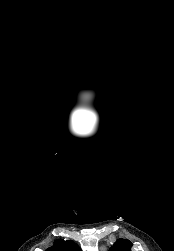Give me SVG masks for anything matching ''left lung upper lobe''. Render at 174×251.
Wrapping results in <instances>:
<instances>
[{"mask_svg":"<svg viewBox=\"0 0 174 251\" xmlns=\"http://www.w3.org/2000/svg\"><path fill=\"white\" fill-rule=\"evenodd\" d=\"M132 243L128 240L119 239L109 251H131Z\"/></svg>","mask_w":174,"mask_h":251,"instance_id":"left-lung-upper-lobe-1","label":"left lung upper lobe"}]
</instances>
